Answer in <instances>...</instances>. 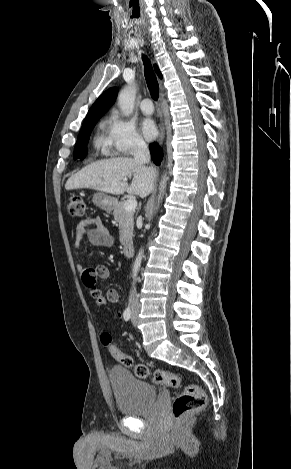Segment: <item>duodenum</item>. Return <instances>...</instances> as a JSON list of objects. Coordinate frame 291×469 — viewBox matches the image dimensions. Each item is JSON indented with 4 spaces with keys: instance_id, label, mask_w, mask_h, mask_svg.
I'll use <instances>...</instances> for the list:
<instances>
[{
    "instance_id": "410a0bca",
    "label": "duodenum",
    "mask_w": 291,
    "mask_h": 469,
    "mask_svg": "<svg viewBox=\"0 0 291 469\" xmlns=\"http://www.w3.org/2000/svg\"><path fill=\"white\" fill-rule=\"evenodd\" d=\"M134 253V245L132 243H128L124 246V254L127 257L132 256Z\"/></svg>"
}]
</instances>
